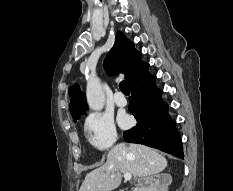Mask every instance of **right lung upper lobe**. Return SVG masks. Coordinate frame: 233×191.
I'll list each match as a JSON object with an SVG mask.
<instances>
[{
	"label": "right lung upper lobe",
	"mask_w": 233,
	"mask_h": 191,
	"mask_svg": "<svg viewBox=\"0 0 233 191\" xmlns=\"http://www.w3.org/2000/svg\"><path fill=\"white\" fill-rule=\"evenodd\" d=\"M142 62L141 52L137 51L133 43L119 31L116 36L115 44L104 61V67L107 73L110 75L123 73L128 83ZM69 95L72 96L69 104L72 116L85 111V94L80 92L78 84H75L69 89Z\"/></svg>",
	"instance_id": "right-lung-upper-lobe-1"
}]
</instances>
